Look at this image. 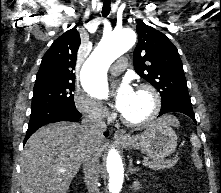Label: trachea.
Instances as JSON below:
<instances>
[{
    "label": "trachea",
    "mask_w": 221,
    "mask_h": 193,
    "mask_svg": "<svg viewBox=\"0 0 221 193\" xmlns=\"http://www.w3.org/2000/svg\"><path fill=\"white\" fill-rule=\"evenodd\" d=\"M110 10H111V7H110V1L109 2H105L103 4V7H102V15L103 17H107L110 13Z\"/></svg>",
    "instance_id": "trachea-1"
}]
</instances>
